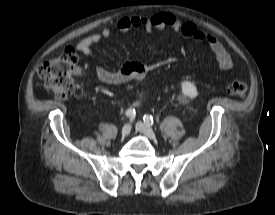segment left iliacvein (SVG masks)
Masks as SVG:
<instances>
[{
    "mask_svg": "<svg viewBox=\"0 0 275 215\" xmlns=\"http://www.w3.org/2000/svg\"><path fill=\"white\" fill-rule=\"evenodd\" d=\"M136 129L143 133L147 138L151 139V140H155L156 139V135L153 132V130L145 123L143 122H137L136 123Z\"/></svg>",
    "mask_w": 275,
    "mask_h": 215,
    "instance_id": "obj_1",
    "label": "left iliac vein"
}]
</instances>
